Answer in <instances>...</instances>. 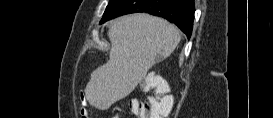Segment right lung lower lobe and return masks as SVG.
I'll list each match as a JSON object with an SVG mask.
<instances>
[{"instance_id": "98d812e1", "label": "right lung lower lobe", "mask_w": 273, "mask_h": 118, "mask_svg": "<svg viewBox=\"0 0 273 118\" xmlns=\"http://www.w3.org/2000/svg\"><path fill=\"white\" fill-rule=\"evenodd\" d=\"M146 12L163 17L174 23L188 38L191 37L194 20V0H121L110 15L102 18L100 24L117 16Z\"/></svg>"}]
</instances>
